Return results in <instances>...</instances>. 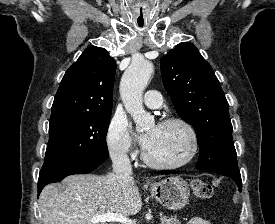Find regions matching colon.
<instances>
[{"instance_id":"1","label":"colon","mask_w":275,"mask_h":224,"mask_svg":"<svg viewBox=\"0 0 275 224\" xmlns=\"http://www.w3.org/2000/svg\"><path fill=\"white\" fill-rule=\"evenodd\" d=\"M191 192L195 201H204L212 196L213 190L209 184L201 180H194L191 184Z\"/></svg>"}]
</instances>
